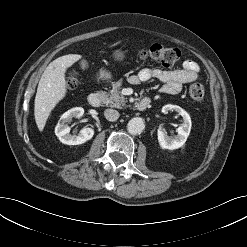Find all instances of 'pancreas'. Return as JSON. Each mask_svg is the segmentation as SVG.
Masks as SVG:
<instances>
[{"instance_id": "obj_1", "label": "pancreas", "mask_w": 247, "mask_h": 247, "mask_svg": "<svg viewBox=\"0 0 247 247\" xmlns=\"http://www.w3.org/2000/svg\"><path fill=\"white\" fill-rule=\"evenodd\" d=\"M120 86L121 82H117L109 93L103 91L99 93L104 104L118 109L125 107L127 100L121 94Z\"/></svg>"}]
</instances>
